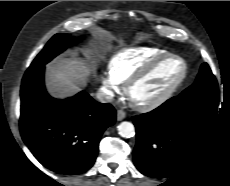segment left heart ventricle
<instances>
[{"mask_svg":"<svg viewBox=\"0 0 230 186\" xmlns=\"http://www.w3.org/2000/svg\"><path fill=\"white\" fill-rule=\"evenodd\" d=\"M181 70L182 65L178 60L164 61L149 76L133 87L132 98L138 102L155 98L180 74Z\"/></svg>","mask_w":230,"mask_h":186,"instance_id":"obj_1","label":"left heart ventricle"}]
</instances>
